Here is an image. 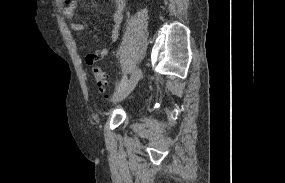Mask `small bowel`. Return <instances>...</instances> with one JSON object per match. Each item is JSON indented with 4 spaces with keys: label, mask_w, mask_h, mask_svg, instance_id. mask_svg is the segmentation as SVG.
<instances>
[{
    "label": "small bowel",
    "mask_w": 285,
    "mask_h": 183,
    "mask_svg": "<svg viewBox=\"0 0 285 183\" xmlns=\"http://www.w3.org/2000/svg\"><path fill=\"white\" fill-rule=\"evenodd\" d=\"M112 1L114 4V9L111 14L110 44L115 43L118 39L126 7L125 0H112ZM63 13L67 19L70 20L73 19L75 16V6L72 4H68L64 8ZM69 26L74 32H81L84 29L83 24L80 22H75V21L70 22ZM108 54H109V48L104 47L99 50L88 53L85 57V60L88 65L92 66L97 62H99L100 60H102L103 58H105Z\"/></svg>",
    "instance_id": "c3829d8e"
}]
</instances>
